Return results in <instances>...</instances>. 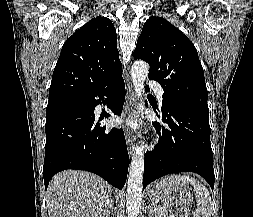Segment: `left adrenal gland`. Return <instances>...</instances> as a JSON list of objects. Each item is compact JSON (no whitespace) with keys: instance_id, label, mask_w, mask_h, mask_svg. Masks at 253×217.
Segmentation results:
<instances>
[{"instance_id":"left-adrenal-gland-1","label":"left adrenal gland","mask_w":253,"mask_h":217,"mask_svg":"<svg viewBox=\"0 0 253 217\" xmlns=\"http://www.w3.org/2000/svg\"><path fill=\"white\" fill-rule=\"evenodd\" d=\"M154 202H153V199L151 200V203L149 204V214H150V216L149 217H155V215H156V212H155V210H154Z\"/></svg>"}]
</instances>
